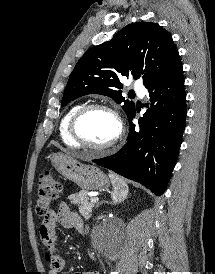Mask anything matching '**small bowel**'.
Instances as JSON below:
<instances>
[{
  "label": "small bowel",
  "instance_id": "1",
  "mask_svg": "<svg viewBox=\"0 0 215 274\" xmlns=\"http://www.w3.org/2000/svg\"><path fill=\"white\" fill-rule=\"evenodd\" d=\"M60 223L65 228H74L82 231L84 228L82 218L70 210L65 202H60L56 211H50L39 227V235L45 247V258L49 264L48 274H58L65 266L64 258L57 253L56 225ZM81 274H99L97 271H86Z\"/></svg>",
  "mask_w": 215,
  "mask_h": 274
}]
</instances>
